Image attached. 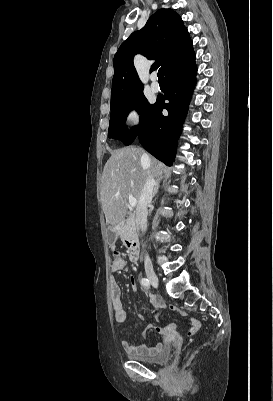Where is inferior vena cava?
Here are the masks:
<instances>
[{"mask_svg":"<svg viewBox=\"0 0 273 401\" xmlns=\"http://www.w3.org/2000/svg\"><path fill=\"white\" fill-rule=\"evenodd\" d=\"M142 160L147 162L148 166L150 164V158L148 154H142ZM149 172V170H147ZM155 184V180L151 174H148L147 180L141 190V196L138 201L137 209H136V223L139 225L141 231H146L147 229V207L150 205L153 196V186ZM146 259H148V255H146Z\"/></svg>","mask_w":273,"mask_h":401,"instance_id":"1","label":"inferior vena cava"}]
</instances>
